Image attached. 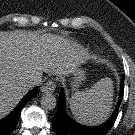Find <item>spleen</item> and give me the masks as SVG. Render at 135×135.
Masks as SVG:
<instances>
[{
	"label": "spleen",
	"instance_id": "3e777b00",
	"mask_svg": "<svg viewBox=\"0 0 135 135\" xmlns=\"http://www.w3.org/2000/svg\"><path fill=\"white\" fill-rule=\"evenodd\" d=\"M113 101V81L103 78L90 89L77 92L70 100V109L77 121L85 125L104 122L111 111Z\"/></svg>",
	"mask_w": 135,
	"mask_h": 135
}]
</instances>
